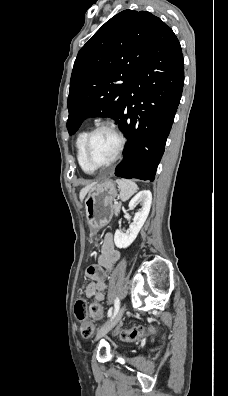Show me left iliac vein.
<instances>
[{
	"instance_id": "4c4485c4",
	"label": "left iliac vein",
	"mask_w": 228,
	"mask_h": 396,
	"mask_svg": "<svg viewBox=\"0 0 228 396\" xmlns=\"http://www.w3.org/2000/svg\"><path fill=\"white\" fill-rule=\"evenodd\" d=\"M125 310H126V306L123 305L119 309L117 314L114 316V318L108 324H106L104 327H102L100 330H98V332L96 333V336H95V341L102 338L104 335H106L110 330H112L119 323Z\"/></svg>"
}]
</instances>
